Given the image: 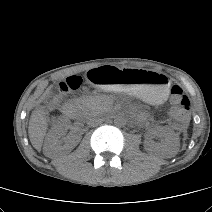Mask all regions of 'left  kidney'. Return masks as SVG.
Returning a JSON list of instances; mask_svg holds the SVG:
<instances>
[{
  "label": "left kidney",
  "mask_w": 212,
  "mask_h": 212,
  "mask_svg": "<svg viewBox=\"0 0 212 212\" xmlns=\"http://www.w3.org/2000/svg\"><path fill=\"white\" fill-rule=\"evenodd\" d=\"M154 134L160 137L161 141L157 143L147 138L144 142V146L148 152L157 153L166 158L177 154L179 149V137L174 131L167 128H158Z\"/></svg>",
  "instance_id": "1"
}]
</instances>
